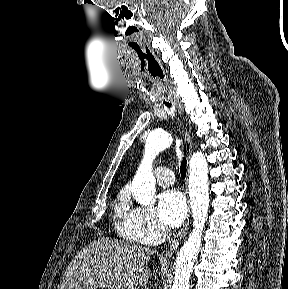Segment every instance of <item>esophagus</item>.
Listing matches in <instances>:
<instances>
[{"instance_id": "1", "label": "esophagus", "mask_w": 288, "mask_h": 289, "mask_svg": "<svg viewBox=\"0 0 288 289\" xmlns=\"http://www.w3.org/2000/svg\"><path fill=\"white\" fill-rule=\"evenodd\" d=\"M178 107H179V110L181 111L180 106H178ZM184 142H185L187 160H188V164H189V159H190V156L192 153V140L190 137V133L187 129L184 132ZM189 219H190V209L188 210V215H187V219L185 221V224L178 231V233L174 236L173 240L171 241V245H170L169 250L166 253V257H172L174 255V253L177 251L179 244H180L181 240L184 238L185 233L187 231V228L189 225Z\"/></svg>"}]
</instances>
